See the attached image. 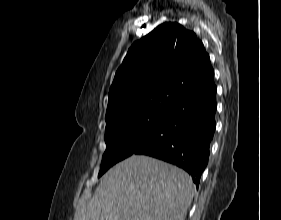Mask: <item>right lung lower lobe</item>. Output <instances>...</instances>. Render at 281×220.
Wrapping results in <instances>:
<instances>
[{
  "instance_id": "right-lung-lower-lobe-1",
  "label": "right lung lower lobe",
  "mask_w": 281,
  "mask_h": 220,
  "mask_svg": "<svg viewBox=\"0 0 281 220\" xmlns=\"http://www.w3.org/2000/svg\"><path fill=\"white\" fill-rule=\"evenodd\" d=\"M216 90L213 85L177 102L162 126L133 154L152 156L183 168L198 188L216 127Z\"/></svg>"
}]
</instances>
